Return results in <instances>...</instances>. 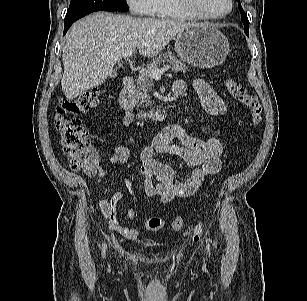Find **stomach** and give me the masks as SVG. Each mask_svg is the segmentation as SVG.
<instances>
[{
	"label": "stomach",
	"instance_id": "0dacf381",
	"mask_svg": "<svg viewBox=\"0 0 307 301\" xmlns=\"http://www.w3.org/2000/svg\"><path fill=\"white\" fill-rule=\"evenodd\" d=\"M175 51L181 60L192 66L212 68L225 60L229 43L216 28L206 24L194 25L177 34Z\"/></svg>",
	"mask_w": 307,
	"mask_h": 301
}]
</instances>
